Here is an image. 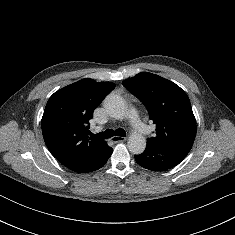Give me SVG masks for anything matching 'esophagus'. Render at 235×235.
Here are the masks:
<instances>
[{
    "label": "esophagus",
    "mask_w": 235,
    "mask_h": 235,
    "mask_svg": "<svg viewBox=\"0 0 235 235\" xmlns=\"http://www.w3.org/2000/svg\"><path fill=\"white\" fill-rule=\"evenodd\" d=\"M125 140H126L125 137H120V136H114L111 138V142H113V143H119V142H123Z\"/></svg>",
    "instance_id": "esophagus-1"
}]
</instances>
